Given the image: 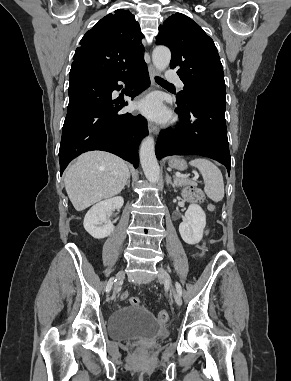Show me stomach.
I'll list each match as a JSON object with an SVG mask.
<instances>
[{
	"instance_id": "obj_1",
	"label": "stomach",
	"mask_w": 291,
	"mask_h": 381,
	"mask_svg": "<svg viewBox=\"0 0 291 381\" xmlns=\"http://www.w3.org/2000/svg\"><path fill=\"white\" fill-rule=\"evenodd\" d=\"M169 165L177 170H185L187 168V164L185 160L180 159V158H173L170 160Z\"/></svg>"
}]
</instances>
